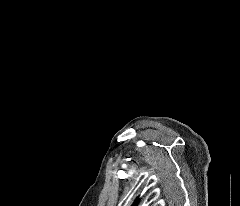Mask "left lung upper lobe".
Returning a JSON list of instances; mask_svg holds the SVG:
<instances>
[{
  "mask_svg": "<svg viewBox=\"0 0 240 206\" xmlns=\"http://www.w3.org/2000/svg\"><path fill=\"white\" fill-rule=\"evenodd\" d=\"M137 204H138V200L135 201V203L133 204V206H137Z\"/></svg>",
  "mask_w": 240,
  "mask_h": 206,
  "instance_id": "5c2ea615",
  "label": "left lung upper lobe"
}]
</instances>
